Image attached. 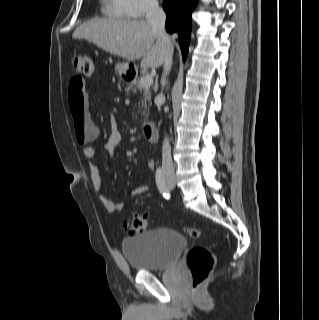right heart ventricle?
I'll list each match as a JSON object with an SVG mask.
<instances>
[{
    "mask_svg": "<svg viewBox=\"0 0 319 320\" xmlns=\"http://www.w3.org/2000/svg\"><path fill=\"white\" fill-rule=\"evenodd\" d=\"M103 13L112 18H124L126 13L120 0H102Z\"/></svg>",
    "mask_w": 319,
    "mask_h": 320,
    "instance_id": "e07e8e85",
    "label": "right heart ventricle"
}]
</instances>
